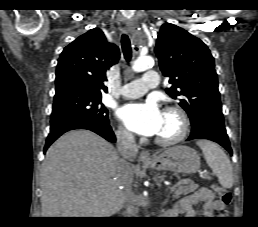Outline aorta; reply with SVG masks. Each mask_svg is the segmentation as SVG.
Listing matches in <instances>:
<instances>
[{"mask_svg": "<svg viewBox=\"0 0 258 227\" xmlns=\"http://www.w3.org/2000/svg\"><path fill=\"white\" fill-rule=\"evenodd\" d=\"M154 64L152 57L144 56L139 57L132 65V69L135 72H142L151 68Z\"/></svg>", "mask_w": 258, "mask_h": 227, "instance_id": "1", "label": "aorta"}]
</instances>
